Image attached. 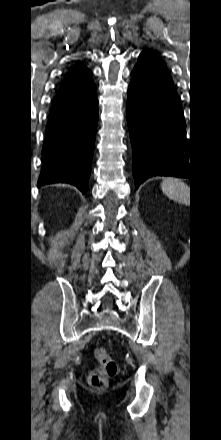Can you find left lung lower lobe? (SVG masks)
<instances>
[{
	"label": "left lung lower lobe",
	"mask_w": 221,
	"mask_h": 440,
	"mask_svg": "<svg viewBox=\"0 0 221 440\" xmlns=\"http://www.w3.org/2000/svg\"><path fill=\"white\" fill-rule=\"evenodd\" d=\"M127 122L136 189L154 176L192 179L182 106L165 62L152 52H142L131 72Z\"/></svg>",
	"instance_id": "1"
}]
</instances>
